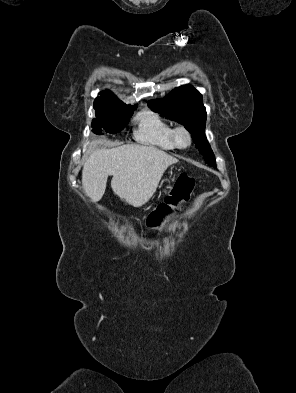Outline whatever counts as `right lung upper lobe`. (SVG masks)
<instances>
[{
  "label": "right lung upper lobe",
  "instance_id": "right-lung-upper-lobe-1",
  "mask_svg": "<svg viewBox=\"0 0 296 393\" xmlns=\"http://www.w3.org/2000/svg\"><path fill=\"white\" fill-rule=\"evenodd\" d=\"M111 101H120L112 92L110 91H103L100 93V97L95 99L94 104L104 103V102H111Z\"/></svg>",
  "mask_w": 296,
  "mask_h": 393
}]
</instances>
